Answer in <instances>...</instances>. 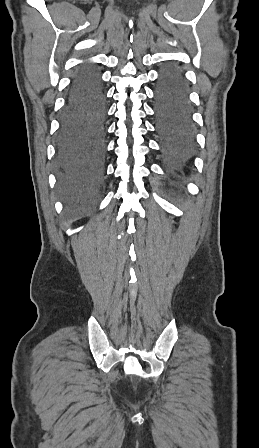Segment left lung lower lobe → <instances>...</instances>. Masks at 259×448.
I'll return each instance as SVG.
<instances>
[{"label": "left lung lower lobe", "instance_id": "left-lung-lower-lobe-1", "mask_svg": "<svg viewBox=\"0 0 259 448\" xmlns=\"http://www.w3.org/2000/svg\"><path fill=\"white\" fill-rule=\"evenodd\" d=\"M156 130L162 153L170 167L185 170L195 149V132L188 90L182 71L165 68L155 90Z\"/></svg>", "mask_w": 259, "mask_h": 448}]
</instances>
